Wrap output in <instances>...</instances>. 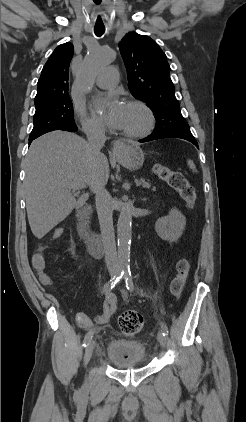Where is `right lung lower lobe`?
Here are the masks:
<instances>
[{"label": "right lung lower lobe", "mask_w": 246, "mask_h": 422, "mask_svg": "<svg viewBox=\"0 0 246 422\" xmlns=\"http://www.w3.org/2000/svg\"><path fill=\"white\" fill-rule=\"evenodd\" d=\"M69 132H75V131H77V127H75V128H73V129H70V130H68ZM34 139H32V140H29V145H30V143L33 141Z\"/></svg>", "instance_id": "obj_1"}]
</instances>
